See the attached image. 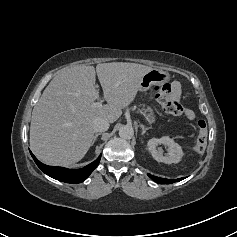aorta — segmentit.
I'll list each match as a JSON object with an SVG mask.
<instances>
[{"instance_id":"obj_1","label":"aorta","mask_w":237,"mask_h":237,"mask_svg":"<svg viewBox=\"0 0 237 237\" xmlns=\"http://www.w3.org/2000/svg\"><path fill=\"white\" fill-rule=\"evenodd\" d=\"M134 130L131 126L124 125L119 129V136L122 139L129 140L133 137Z\"/></svg>"}]
</instances>
